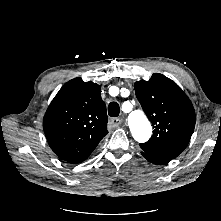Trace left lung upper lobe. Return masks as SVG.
<instances>
[{
	"label": "left lung upper lobe",
	"mask_w": 221,
	"mask_h": 221,
	"mask_svg": "<svg viewBox=\"0 0 221 221\" xmlns=\"http://www.w3.org/2000/svg\"><path fill=\"white\" fill-rule=\"evenodd\" d=\"M136 97L153 125L150 140L140 144L143 152L176 158L188 145L195 127L193 105L171 79L155 73L149 81L134 85Z\"/></svg>",
	"instance_id": "obj_1"
}]
</instances>
